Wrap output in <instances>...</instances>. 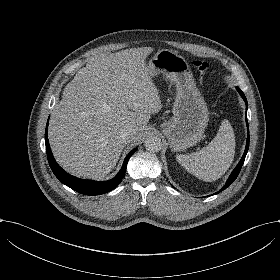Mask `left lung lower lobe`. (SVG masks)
<instances>
[{
	"instance_id": "left-lung-lower-lobe-1",
	"label": "left lung lower lobe",
	"mask_w": 280,
	"mask_h": 280,
	"mask_svg": "<svg viewBox=\"0 0 280 280\" xmlns=\"http://www.w3.org/2000/svg\"><path fill=\"white\" fill-rule=\"evenodd\" d=\"M237 91L240 93V95L242 96V98L244 99V101L246 102V107H247V100H246V97L244 95V93L239 89L237 88ZM246 123H247V127H248V122L246 120ZM248 148H249V129H248V136H247V142H246V148H245V151H244V154L240 160V162L238 163V165L235 167V169L233 170V172L231 173L229 179L227 180L226 182V185L221 189L219 190V192H221L222 190L226 189L229 185H231L234 180L237 178L240 170H241V167L244 163V160H245V157H246V154H247V151H248ZM218 193V192H217Z\"/></svg>"
}]
</instances>
